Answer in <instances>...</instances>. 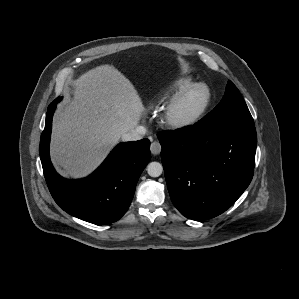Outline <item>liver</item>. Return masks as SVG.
I'll return each mask as SVG.
<instances>
[{
  "instance_id": "obj_1",
  "label": "liver",
  "mask_w": 299,
  "mask_h": 299,
  "mask_svg": "<svg viewBox=\"0 0 299 299\" xmlns=\"http://www.w3.org/2000/svg\"><path fill=\"white\" fill-rule=\"evenodd\" d=\"M72 98L53 121L51 157L66 177L89 174L111 147L133 130L144 106L135 87L113 65H100L71 82Z\"/></svg>"
}]
</instances>
